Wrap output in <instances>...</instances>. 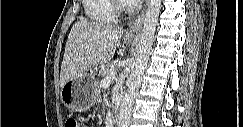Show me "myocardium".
<instances>
[{
  "instance_id": "myocardium-1",
  "label": "myocardium",
  "mask_w": 243,
  "mask_h": 127,
  "mask_svg": "<svg viewBox=\"0 0 243 127\" xmlns=\"http://www.w3.org/2000/svg\"><path fill=\"white\" fill-rule=\"evenodd\" d=\"M129 10H130V6L127 3L120 1V0H117L115 2V11L116 12L127 13Z\"/></svg>"
}]
</instances>
